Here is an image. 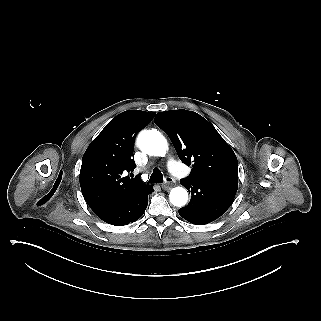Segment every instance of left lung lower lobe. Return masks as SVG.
Masks as SVG:
<instances>
[{
    "instance_id": "0a47b994",
    "label": "left lung lower lobe",
    "mask_w": 321,
    "mask_h": 321,
    "mask_svg": "<svg viewBox=\"0 0 321 321\" xmlns=\"http://www.w3.org/2000/svg\"><path fill=\"white\" fill-rule=\"evenodd\" d=\"M180 183L191 194L189 204L179 209L180 216L192 224L205 225L231 206L238 188V176L180 180Z\"/></svg>"
}]
</instances>
